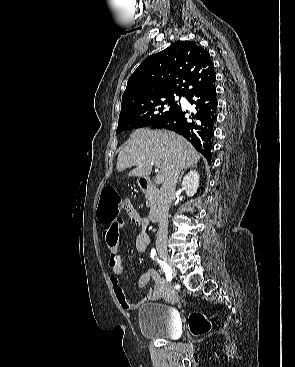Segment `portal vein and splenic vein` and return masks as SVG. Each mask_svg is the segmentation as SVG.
I'll return each instance as SVG.
<instances>
[{
  "instance_id": "18ae733b",
  "label": "portal vein and splenic vein",
  "mask_w": 295,
  "mask_h": 367,
  "mask_svg": "<svg viewBox=\"0 0 295 367\" xmlns=\"http://www.w3.org/2000/svg\"><path fill=\"white\" fill-rule=\"evenodd\" d=\"M158 171V170H157ZM163 180H164V177L159 173V174H157V176H156V178H155V183L156 184H160V183H162L163 182Z\"/></svg>"
}]
</instances>
